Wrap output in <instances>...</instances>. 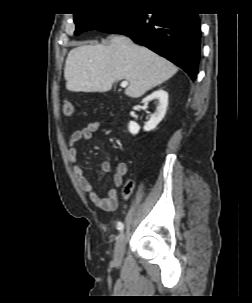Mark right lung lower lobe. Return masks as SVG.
I'll return each mask as SVG.
<instances>
[{
	"label": "right lung lower lobe",
	"instance_id": "right-lung-lower-lobe-1",
	"mask_svg": "<svg viewBox=\"0 0 252 303\" xmlns=\"http://www.w3.org/2000/svg\"><path fill=\"white\" fill-rule=\"evenodd\" d=\"M98 31L123 34L181 67L194 81L198 73L201 29L198 14L162 9L128 13Z\"/></svg>",
	"mask_w": 252,
	"mask_h": 303
}]
</instances>
